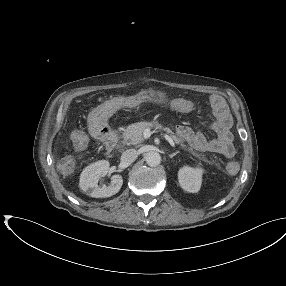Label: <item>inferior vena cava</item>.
<instances>
[{"instance_id":"obj_1","label":"inferior vena cava","mask_w":286,"mask_h":286,"mask_svg":"<svg viewBox=\"0 0 286 286\" xmlns=\"http://www.w3.org/2000/svg\"><path fill=\"white\" fill-rule=\"evenodd\" d=\"M137 151L135 149H127L122 153L121 163L124 166H128L133 163L137 158Z\"/></svg>"}]
</instances>
